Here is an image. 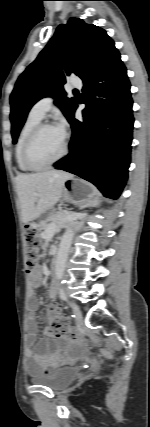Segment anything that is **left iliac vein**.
I'll return each instance as SVG.
<instances>
[{"instance_id": "1", "label": "left iliac vein", "mask_w": 150, "mask_h": 427, "mask_svg": "<svg viewBox=\"0 0 150 427\" xmlns=\"http://www.w3.org/2000/svg\"><path fill=\"white\" fill-rule=\"evenodd\" d=\"M70 305H71L73 313H74V315L76 317V322L79 325H82V323H83V316H82L80 308L75 303H70Z\"/></svg>"}]
</instances>
